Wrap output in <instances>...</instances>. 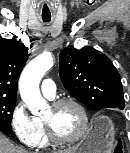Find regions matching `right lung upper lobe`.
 Here are the masks:
<instances>
[{
	"label": "right lung upper lobe",
	"mask_w": 130,
	"mask_h": 153,
	"mask_svg": "<svg viewBox=\"0 0 130 153\" xmlns=\"http://www.w3.org/2000/svg\"><path fill=\"white\" fill-rule=\"evenodd\" d=\"M27 59L24 44L0 38V97L16 99L18 78Z\"/></svg>",
	"instance_id": "right-lung-upper-lobe-1"
}]
</instances>
